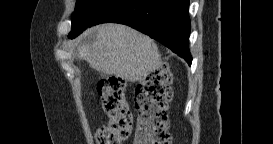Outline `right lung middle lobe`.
Segmentation results:
<instances>
[{
    "label": "right lung middle lobe",
    "instance_id": "right-lung-middle-lobe-1",
    "mask_svg": "<svg viewBox=\"0 0 273 144\" xmlns=\"http://www.w3.org/2000/svg\"><path fill=\"white\" fill-rule=\"evenodd\" d=\"M111 0H78L72 19L69 38H75L85 30L92 18Z\"/></svg>",
    "mask_w": 273,
    "mask_h": 144
}]
</instances>
